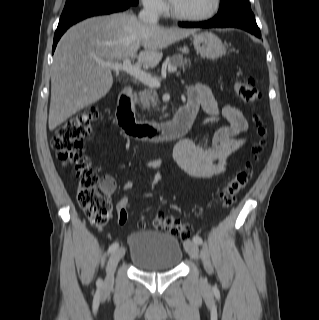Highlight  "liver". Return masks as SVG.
Instances as JSON below:
<instances>
[{
	"label": "liver",
	"instance_id": "6515ba94",
	"mask_svg": "<svg viewBox=\"0 0 319 320\" xmlns=\"http://www.w3.org/2000/svg\"><path fill=\"white\" fill-rule=\"evenodd\" d=\"M195 31L147 24L128 13L92 17L71 27L54 53L50 131L109 92L113 77L102 62L137 57L139 64L154 67L162 59L160 50ZM140 46L144 50L137 55Z\"/></svg>",
	"mask_w": 319,
	"mask_h": 320
}]
</instances>
